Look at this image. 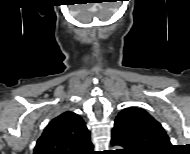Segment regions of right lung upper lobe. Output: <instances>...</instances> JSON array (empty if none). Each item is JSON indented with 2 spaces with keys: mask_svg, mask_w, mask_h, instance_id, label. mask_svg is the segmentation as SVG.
Here are the masks:
<instances>
[{
  "mask_svg": "<svg viewBox=\"0 0 190 154\" xmlns=\"http://www.w3.org/2000/svg\"><path fill=\"white\" fill-rule=\"evenodd\" d=\"M92 149L90 132L83 119L66 111L46 126L34 154H91Z\"/></svg>",
  "mask_w": 190,
  "mask_h": 154,
  "instance_id": "right-lung-upper-lobe-1",
  "label": "right lung upper lobe"
}]
</instances>
